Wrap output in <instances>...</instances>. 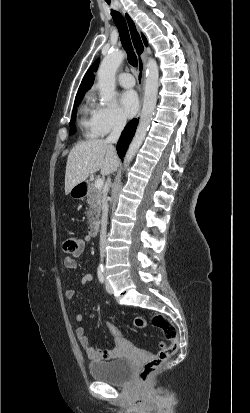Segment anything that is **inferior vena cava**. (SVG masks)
<instances>
[{"label": "inferior vena cava", "mask_w": 250, "mask_h": 413, "mask_svg": "<svg viewBox=\"0 0 250 413\" xmlns=\"http://www.w3.org/2000/svg\"><path fill=\"white\" fill-rule=\"evenodd\" d=\"M126 125V118L119 117L113 125L110 135L106 138L105 142L114 148L113 144H116L122 130ZM107 217H108V202L104 197L102 203V218H101V231H100V245H101V257L104 255V245L106 242V229H107Z\"/></svg>", "instance_id": "inferior-vena-cava-1"}]
</instances>
